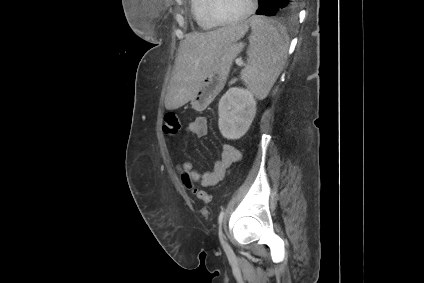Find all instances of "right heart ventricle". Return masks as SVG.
Returning a JSON list of instances; mask_svg holds the SVG:
<instances>
[{
	"label": "right heart ventricle",
	"instance_id": "right-heart-ventricle-1",
	"mask_svg": "<svg viewBox=\"0 0 424 283\" xmlns=\"http://www.w3.org/2000/svg\"><path fill=\"white\" fill-rule=\"evenodd\" d=\"M207 0H190L192 17L196 24L204 30L214 29L217 25L212 23L206 14Z\"/></svg>",
	"mask_w": 424,
	"mask_h": 283
}]
</instances>
